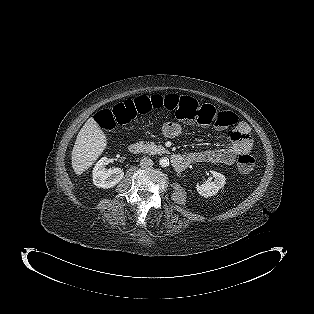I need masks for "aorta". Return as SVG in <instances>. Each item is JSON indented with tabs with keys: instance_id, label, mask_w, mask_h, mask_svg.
I'll return each mask as SVG.
<instances>
[{
	"instance_id": "aorta-1",
	"label": "aorta",
	"mask_w": 314,
	"mask_h": 314,
	"mask_svg": "<svg viewBox=\"0 0 314 314\" xmlns=\"http://www.w3.org/2000/svg\"><path fill=\"white\" fill-rule=\"evenodd\" d=\"M169 163L170 162H169V159L167 157H162L159 160V164L161 167H167V166H169Z\"/></svg>"
}]
</instances>
